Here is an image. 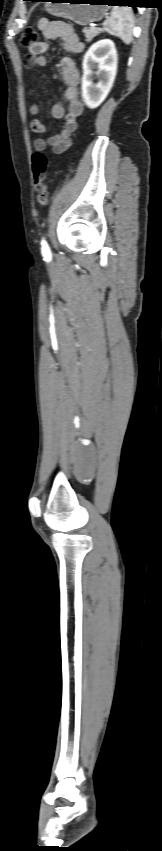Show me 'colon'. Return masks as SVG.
I'll list each match as a JSON object with an SVG mask.
<instances>
[{
  "instance_id": "1",
  "label": "colon",
  "mask_w": 162,
  "mask_h": 851,
  "mask_svg": "<svg viewBox=\"0 0 162 851\" xmlns=\"http://www.w3.org/2000/svg\"><path fill=\"white\" fill-rule=\"evenodd\" d=\"M38 32L34 28H27L22 34L20 44L23 47L29 48L31 45L38 42ZM47 170L48 158L41 151H37L32 155V172L34 182L37 189V201L40 205H47L49 201L48 186H47Z\"/></svg>"
}]
</instances>
